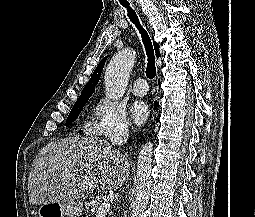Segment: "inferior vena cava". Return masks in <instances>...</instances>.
I'll list each match as a JSON object with an SVG mask.
<instances>
[{"label":"inferior vena cava","mask_w":255,"mask_h":217,"mask_svg":"<svg viewBox=\"0 0 255 217\" xmlns=\"http://www.w3.org/2000/svg\"><path fill=\"white\" fill-rule=\"evenodd\" d=\"M129 137V130L127 127H122L115 134L111 136L112 145H124Z\"/></svg>","instance_id":"inferior-vena-cava-1"}]
</instances>
